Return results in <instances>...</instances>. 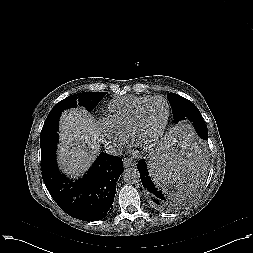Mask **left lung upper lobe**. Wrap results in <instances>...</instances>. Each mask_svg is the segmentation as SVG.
<instances>
[{
  "label": "left lung upper lobe",
  "mask_w": 253,
  "mask_h": 253,
  "mask_svg": "<svg viewBox=\"0 0 253 253\" xmlns=\"http://www.w3.org/2000/svg\"><path fill=\"white\" fill-rule=\"evenodd\" d=\"M167 98L173 109L174 122L177 124L182 120L189 119L200 137L194 139V142L198 140L204 144V141L208 139V130L198 108L188 99L175 93H168Z\"/></svg>",
  "instance_id": "left-lung-upper-lobe-1"
}]
</instances>
